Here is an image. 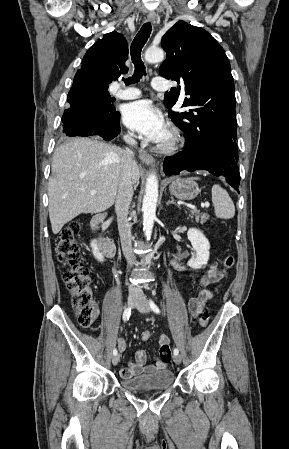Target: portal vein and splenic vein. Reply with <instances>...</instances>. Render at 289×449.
I'll return each mask as SVG.
<instances>
[{
    "instance_id": "portal-vein-and-splenic-vein-1",
    "label": "portal vein and splenic vein",
    "mask_w": 289,
    "mask_h": 449,
    "mask_svg": "<svg viewBox=\"0 0 289 449\" xmlns=\"http://www.w3.org/2000/svg\"><path fill=\"white\" fill-rule=\"evenodd\" d=\"M91 194H92V195H95V194H96V191H94V190L91 191ZM209 205H210V204H209L208 202H205V203L202 204V207H206V208H207V207H209Z\"/></svg>"
}]
</instances>
